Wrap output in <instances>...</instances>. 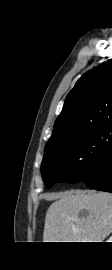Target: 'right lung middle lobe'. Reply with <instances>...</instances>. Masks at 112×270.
Listing matches in <instances>:
<instances>
[{
	"label": "right lung middle lobe",
	"instance_id": "dd1d6c3e",
	"mask_svg": "<svg viewBox=\"0 0 112 270\" xmlns=\"http://www.w3.org/2000/svg\"><path fill=\"white\" fill-rule=\"evenodd\" d=\"M112 146V123L45 149L41 164L47 188L56 182L82 181L96 166L101 154Z\"/></svg>",
	"mask_w": 112,
	"mask_h": 270
}]
</instances>
